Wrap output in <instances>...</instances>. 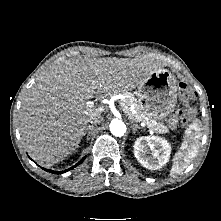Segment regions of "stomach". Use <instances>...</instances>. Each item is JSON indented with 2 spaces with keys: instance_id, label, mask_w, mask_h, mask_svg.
Masks as SVG:
<instances>
[{
  "instance_id": "obj_1",
  "label": "stomach",
  "mask_w": 221,
  "mask_h": 221,
  "mask_svg": "<svg viewBox=\"0 0 221 221\" xmlns=\"http://www.w3.org/2000/svg\"><path fill=\"white\" fill-rule=\"evenodd\" d=\"M177 82L167 69L152 72L138 86V105L141 111L154 120L169 116L177 103Z\"/></svg>"
}]
</instances>
